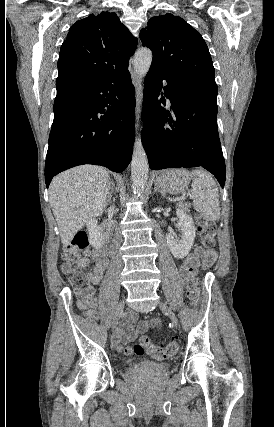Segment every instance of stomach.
<instances>
[{"mask_svg": "<svg viewBox=\"0 0 274 427\" xmlns=\"http://www.w3.org/2000/svg\"><path fill=\"white\" fill-rule=\"evenodd\" d=\"M190 180L187 170H164L157 172L155 184L167 194H182L188 188Z\"/></svg>", "mask_w": 274, "mask_h": 427, "instance_id": "0dacf381", "label": "stomach"}]
</instances>
